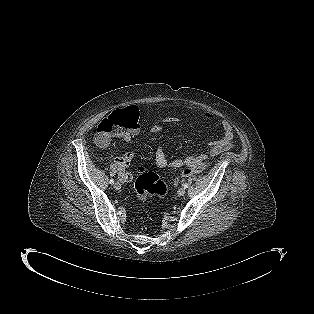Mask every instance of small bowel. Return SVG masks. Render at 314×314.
<instances>
[{
    "mask_svg": "<svg viewBox=\"0 0 314 314\" xmlns=\"http://www.w3.org/2000/svg\"><path fill=\"white\" fill-rule=\"evenodd\" d=\"M210 117V116H207ZM179 118L175 116H163L154 121V123L149 128V132L151 134H157L160 133L164 125L167 123H175L178 122ZM222 126V136L218 138L217 140L211 141L209 146V151L207 154H195L191 155L185 159L182 158H176L172 161H168L167 156L165 154L164 148L162 145H159L156 148L155 151V163L160 168H165L168 165H170L173 168H180L182 166H191L194 163H196L198 160L207 158V157H214L217 156L225 151H228L230 148H232V139H233V128L231 124L224 120L221 123ZM139 128L128 132V133H121L118 135L119 140L122 142H130L132 138L139 133ZM96 143L98 146L105 148L109 146L110 144V138H108L104 142H100L96 139ZM135 156V152L133 150H129L125 152L122 156H111L110 158L114 161V163L119 167L120 169V177L123 181H130L133 178V174L130 172H126V168L129 167L131 161L133 160ZM139 167L138 169H140ZM138 171V170H137Z\"/></svg>",
    "mask_w": 314,
    "mask_h": 314,
    "instance_id": "obj_1",
    "label": "small bowel"
}]
</instances>
